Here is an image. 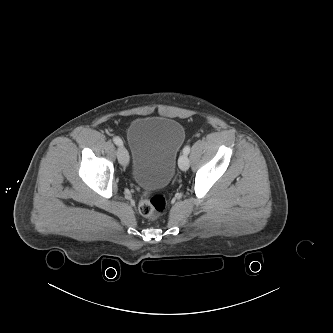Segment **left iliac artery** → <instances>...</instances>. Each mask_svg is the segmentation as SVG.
<instances>
[{"label":"left iliac artery","instance_id":"obj_1","mask_svg":"<svg viewBox=\"0 0 333 333\" xmlns=\"http://www.w3.org/2000/svg\"><path fill=\"white\" fill-rule=\"evenodd\" d=\"M189 152H190V146H189V145H187V146H185V147H184V149H183V154H186V155H188V154H189Z\"/></svg>","mask_w":333,"mask_h":333}]
</instances>
